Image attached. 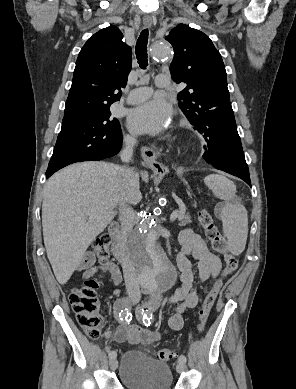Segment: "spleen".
Masks as SVG:
<instances>
[{
    "mask_svg": "<svg viewBox=\"0 0 296 389\" xmlns=\"http://www.w3.org/2000/svg\"><path fill=\"white\" fill-rule=\"evenodd\" d=\"M204 183L217 198L225 201L220 216L223 233L227 238V247L233 255L241 254L247 241L248 216L245 207L235 195V184L219 174L206 176Z\"/></svg>",
    "mask_w": 296,
    "mask_h": 389,
    "instance_id": "obj_1",
    "label": "spleen"
}]
</instances>
